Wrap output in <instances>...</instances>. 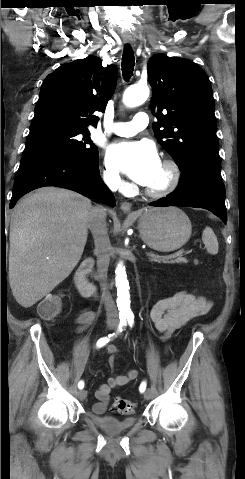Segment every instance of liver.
<instances>
[{
	"label": "liver",
	"instance_id": "obj_1",
	"mask_svg": "<svg viewBox=\"0 0 245 479\" xmlns=\"http://www.w3.org/2000/svg\"><path fill=\"white\" fill-rule=\"evenodd\" d=\"M91 201L73 191L43 187L22 198L10 221L9 281L29 308L73 271L88 236Z\"/></svg>",
	"mask_w": 245,
	"mask_h": 479
}]
</instances>
